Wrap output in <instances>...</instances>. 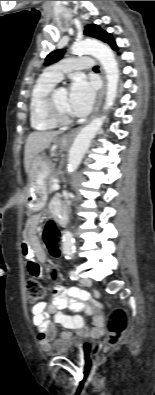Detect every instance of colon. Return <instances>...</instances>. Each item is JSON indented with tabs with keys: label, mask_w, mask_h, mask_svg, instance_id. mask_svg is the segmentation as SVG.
Instances as JSON below:
<instances>
[{
	"label": "colon",
	"mask_w": 155,
	"mask_h": 395,
	"mask_svg": "<svg viewBox=\"0 0 155 395\" xmlns=\"http://www.w3.org/2000/svg\"><path fill=\"white\" fill-rule=\"evenodd\" d=\"M58 223H47L43 239L45 242V250L50 251V256H61V249L58 245L62 244ZM53 272H60V265H53ZM27 299L30 303H39L46 296L44 287L35 279H30L26 283ZM128 326V313L124 308L114 309L107 322V340L103 352H107L110 348L117 346Z\"/></svg>",
	"instance_id": "5ec220e1"
}]
</instances>
